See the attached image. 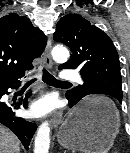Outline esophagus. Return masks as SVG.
Returning a JSON list of instances; mask_svg holds the SVG:
<instances>
[{
	"label": "esophagus",
	"instance_id": "obj_1",
	"mask_svg": "<svg viewBox=\"0 0 130 153\" xmlns=\"http://www.w3.org/2000/svg\"><path fill=\"white\" fill-rule=\"evenodd\" d=\"M51 48H52V42H51V39H48L45 51L43 53V61L47 68H52L53 66V62L51 58ZM62 117H63L62 111L55 112L52 119V125L54 127H57L62 121Z\"/></svg>",
	"mask_w": 130,
	"mask_h": 153
}]
</instances>
